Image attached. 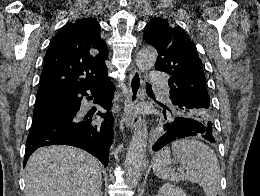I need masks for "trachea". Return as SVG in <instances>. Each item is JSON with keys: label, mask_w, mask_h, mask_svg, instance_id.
<instances>
[{"label": "trachea", "mask_w": 260, "mask_h": 196, "mask_svg": "<svg viewBox=\"0 0 260 196\" xmlns=\"http://www.w3.org/2000/svg\"><path fill=\"white\" fill-rule=\"evenodd\" d=\"M146 88H151V85L149 83H146Z\"/></svg>", "instance_id": "obj_1"}]
</instances>
